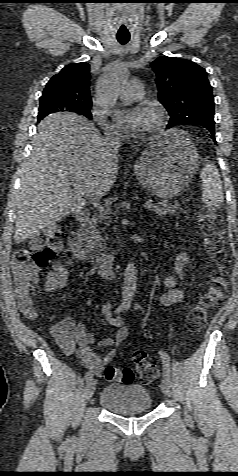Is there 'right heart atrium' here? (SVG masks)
<instances>
[{"mask_svg": "<svg viewBox=\"0 0 238 476\" xmlns=\"http://www.w3.org/2000/svg\"><path fill=\"white\" fill-rule=\"evenodd\" d=\"M93 118L96 121L97 124L101 126V128L104 130L105 134L109 137H116L118 136V132L113 127L110 125L106 119V115L103 111L101 110H94L93 111Z\"/></svg>", "mask_w": 238, "mask_h": 476, "instance_id": "right-heart-atrium-1", "label": "right heart atrium"}]
</instances>
